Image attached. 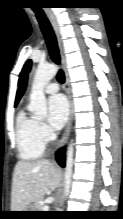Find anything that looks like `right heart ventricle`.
Segmentation results:
<instances>
[{
	"mask_svg": "<svg viewBox=\"0 0 123 219\" xmlns=\"http://www.w3.org/2000/svg\"><path fill=\"white\" fill-rule=\"evenodd\" d=\"M16 144L20 158L25 161L39 159L45 150L39 123L24 111H20L16 119Z\"/></svg>",
	"mask_w": 123,
	"mask_h": 219,
	"instance_id": "1",
	"label": "right heart ventricle"
}]
</instances>
